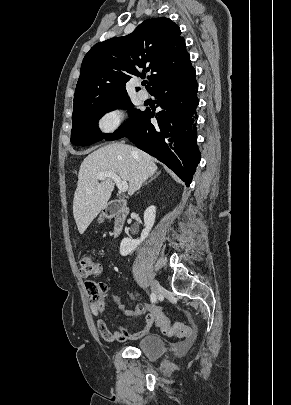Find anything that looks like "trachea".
I'll list each match as a JSON object with an SVG mask.
<instances>
[{
	"label": "trachea",
	"instance_id": "obj_1",
	"mask_svg": "<svg viewBox=\"0 0 291 405\" xmlns=\"http://www.w3.org/2000/svg\"><path fill=\"white\" fill-rule=\"evenodd\" d=\"M146 83H147V81H145V80L142 82L143 85H146Z\"/></svg>",
	"mask_w": 291,
	"mask_h": 405
}]
</instances>
